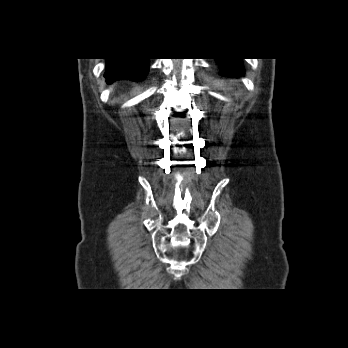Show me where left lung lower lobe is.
Listing matches in <instances>:
<instances>
[{"label": "left lung lower lobe", "mask_w": 348, "mask_h": 348, "mask_svg": "<svg viewBox=\"0 0 348 348\" xmlns=\"http://www.w3.org/2000/svg\"><path fill=\"white\" fill-rule=\"evenodd\" d=\"M216 60L224 69V75L238 77L243 72L241 58H217Z\"/></svg>", "instance_id": "obj_1"}]
</instances>
